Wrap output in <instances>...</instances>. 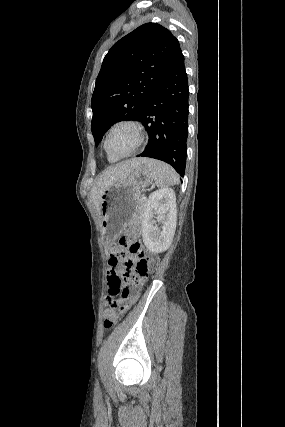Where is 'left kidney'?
Returning a JSON list of instances; mask_svg holds the SVG:
<instances>
[{"instance_id":"5707ae66","label":"left kidney","mask_w":285,"mask_h":427,"mask_svg":"<svg viewBox=\"0 0 285 427\" xmlns=\"http://www.w3.org/2000/svg\"><path fill=\"white\" fill-rule=\"evenodd\" d=\"M162 224L161 230L155 225L153 215ZM176 197L172 189L156 190L149 195L142 218V238L152 253L166 251L172 243L176 229Z\"/></svg>"}]
</instances>
